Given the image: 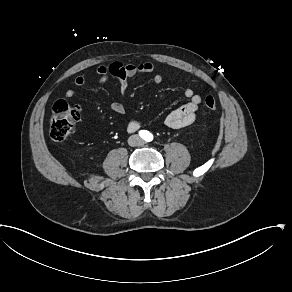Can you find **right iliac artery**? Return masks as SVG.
I'll return each mask as SVG.
<instances>
[{
  "label": "right iliac artery",
  "instance_id": "82829eb1",
  "mask_svg": "<svg viewBox=\"0 0 292 292\" xmlns=\"http://www.w3.org/2000/svg\"><path fill=\"white\" fill-rule=\"evenodd\" d=\"M139 135L142 137V138H145L147 136V131L145 130H140L139 131Z\"/></svg>",
  "mask_w": 292,
  "mask_h": 292
}]
</instances>
